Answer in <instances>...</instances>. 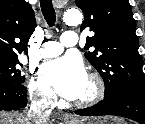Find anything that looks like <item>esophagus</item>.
Wrapping results in <instances>:
<instances>
[{
    "instance_id": "esophagus-1",
    "label": "esophagus",
    "mask_w": 145,
    "mask_h": 124,
    "mask_svg": "<svg viewBox=\"0 0 145 124\" xmlns=\"http://www.w3.org/2000/svg\"><path fill=\"white\" fill-rule=\"evenodd\" d=\"M62 120L64 121L65 124H71L75 119L71 114H63Z\"/></svg>"
}]
</instances>
